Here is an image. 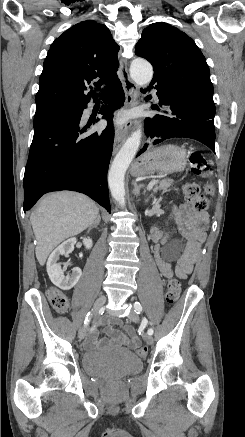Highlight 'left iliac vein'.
<instances>
[{"label": "left iliac vein", "instance_id": "obj_1", "mask_svg": "<svg viewBox=\"0 0 245 437\" xmlns=\"http://www.w3.org/2000/svg\"><path fill=\"white\" fill-rule=\"evenodd\" d=\"M128 317H129V319H130L131 321H133V322H137V321H138V314H137V312H136L134 309H132V310L130 311ZM143 338H144V340H145V342H146L147 344L151 345V344L153 343V338H152L151 335L145 333V334L143 335Z\"/></svg>", "mask_w": 245, "mask_h": 437}]
</instances>
